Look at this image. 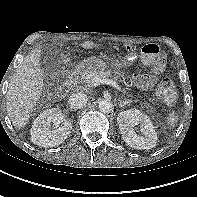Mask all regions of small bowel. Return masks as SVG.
Masks as SVG:
<instances>
[{"label":"small bowel","instance_id":"1","mask_svg":"<svg viewBox=\"0 0 197 197\" xmlns=\"http://www.w3.org/2000/svg\"><path fill=\"white\" fill-rule=\"evenodd\" d=\"M134 83L142 90H149L155 85L156 77L147 74L135 75Z\"/></svg>","mask_w":197,"mask_h":197}]
</instances>
